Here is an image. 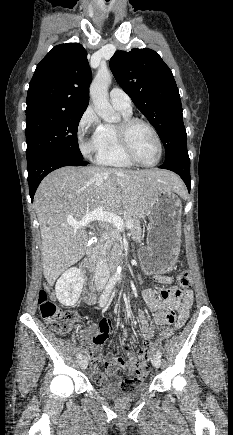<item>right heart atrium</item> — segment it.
I'll use <instances>...</instances> for the list:
<instances>
[{"instance_id": "1", "label": "right heart atrium", "mask_w": 233, "mask_h": 435, "mask_svg": "<svg viewBox=\"0 0 233 435\" xmlns=\"http://www.w3.org/2000/svg\"><path fill=\"white\" fill-rule=\"evenodd\" d=\"M102 123L92 108H87L82 114L78 127L77 138L82 153L92 157L101 149Z\"/></svg>"}]
</instances>
